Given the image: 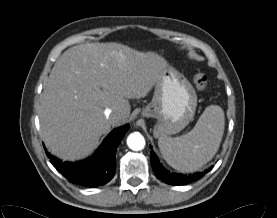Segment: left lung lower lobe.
Masks as SVG:
<instances>
[{"label": "left lung lower lobe", "instance_id": "obj_1", "mask_svg": "<svg viewBox=\"0 0 277 218\" xmlns=\"http://www.w3.org/2000/svg\"><path fill=\"white\" fill-rule=\"evenodd\" d=\"M151 165L156 174V176L162 180L163 182L170 184V185H182V184H189L191 182L197 181L201 177H203L208 171L211 170L212 167L209 169L189 175H182V174H175L170 173L163 166L160 164L159 160L157 159L155 153L151 151Z\"/></svg>", "mask_w": 277, "mask_h": 218}]
</instances>
